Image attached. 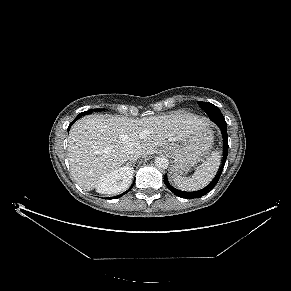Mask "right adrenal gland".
Returning a JSON list of instances; mask_svg holds the SVG:
<instances>
[{"mask_svg": "<svg viewBox=\"0 0 291 291\" xmlns=\"http://www.w3.org/2000/svg\"><path fill=\"white\" fill-rule=\"evenodd\" d=\"M134 162H135V161H130V162L127 163V165H129V164L131 165V164L134 163Z\"/></svg>", "mask_w": 291, "mask_h": 291, "instance_id": "2a0ac1e0", "label": "right adrenal gland"}]
</instances>
